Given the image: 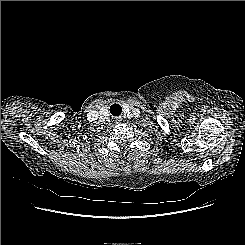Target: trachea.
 <instances>
[{
    "label": "trachea",
    "instance_id": "3493384b",
    "mask_svg": "<svg viewBox=\"0 0 245 245\" xmlns=\"http://www.w3.org/2000/svg\"><path fill=\"white\" fill-rule=\"evenodd\" d=\"M110 112L112 115L114 116H118L121 114L122 112V108L119 104H113L111 107H110Z\"/></svg>",
    "mask_w": 245,
    "mask_h": 245
}]
</instances>
